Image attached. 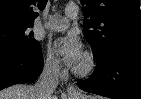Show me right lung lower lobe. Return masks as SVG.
Segmentation results:
<instances>
[{"instance_id": "98d812e1", "label": "right lung lower lobe", "mask_w": 141, "mask_h": 99, "mask_svg": "<svg viewBox=\"0 0 141 99\" xmlns=\"http://www.w3.org/2000/svg\"><path fill=\"white\" fill-rule=\"evenodd\" d=\"M42 68L41 48L31 51H0V90L35 80Z\"/></svg>"}]
</instances>
